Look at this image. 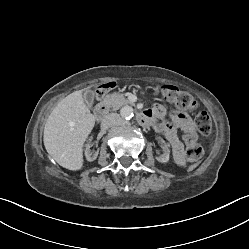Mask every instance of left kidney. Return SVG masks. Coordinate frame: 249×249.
Listing matches in <instances>:
<instances>
[{
	"label": "left kidney",
	"mask_w": 249,
	"mask_h": 249,
	"mask_svg": "<svg viewBox=\"0 0 249 249\" xmlns=\"http://www.w3.org/2000/svg\"><path fill=\"white\" fill-rule=\"evenodd\" d=\"M154 145L157 148V151L159 152V154L161 155V157H157V161L162 162V163H166L169 161V157H170V150L168 149V147L166 146V141L163 137H155L154 138Z\"/></svg>",
	"instance_id": "1"
}]
</instances>
